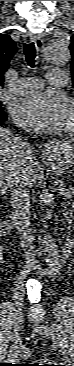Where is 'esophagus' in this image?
I'll use <instances>...</instances> for the list:
<instances>
[{
  "label": "esophagus",
  "mask_w": 74,
  "mask_h": 366,
  "mask_svg": "<svg viewBox=\"0 0 74 366\" xmlns=\"http://www.w3.org/2000/svg\"><path fill=\"white\" fill-rule=\"evenodd\" d=\"M30 39L35 43L37 50L39 52H42L43 48H44V44H43V40L41 39V37L40 36H31ZM46 151H48V150L44 149V152H46Z\"/></svg>",
  "instance_id": "esophagus-1"
}]
</instances>
